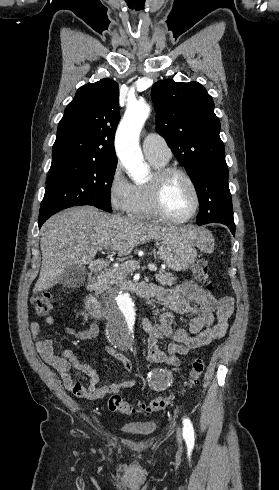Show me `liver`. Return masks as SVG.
I'll use <instances>...</instances> for the list:
<instances>
[{
	"mask_svg": "<svg viewBox=\"0 0 279 490\" xmlns=\"http://www.w3.org/2000/svg\"><path fill=\"white\" fill-rule=\"evenodd\" d=\"M196 242L201 250V228L154 226L136 218H122L99 212L93 206L68 208L49 218L42 226L40 248L42 264L33 294L52 288L68 266H86L93 262L104 244H110L118 256H129L135 246L151 240H165L170 234Z\"/></svg>",
	"mask_w": 279,
	"mask_h": 490,
	"instance_id": "6515ba94",
	"label": "liver"
}]
</instances>
